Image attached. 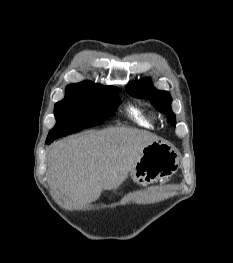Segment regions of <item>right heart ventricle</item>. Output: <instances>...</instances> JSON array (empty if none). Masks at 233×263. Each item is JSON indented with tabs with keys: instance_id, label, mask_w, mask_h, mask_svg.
I'll use <instances>...</instances> for the list:
<instances>
[{
	"instance_id": "1",
	"label": "right heart ventricle",
	"mask_w": 233,
	"mask_h": 263,
	"mask_svg": "<svg viewBox=\"0 0 233 263\" xmlns=\"http://www.w3.org/2000/svg\"><path fill=\"white\" fill-rule=\"evenodd\" d=\"M129 116L139 125L146 128H153L155 124V115L152 111L140 106L130 105L127 109Z\"/></svg>"
}]
</instances>
